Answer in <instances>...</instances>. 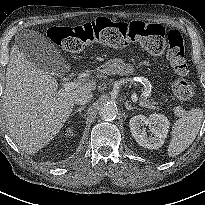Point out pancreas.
Here are the masks:
<instances>
[{
    "mask_svg": "<svg viewBox=\"0 0 205 205\" xmlns=\"http://www.w3.org/2000/svg\"><path fill=\"white\" fill-rule=\"evenodd\" d=\"M157 105H158V103L156 101H154L152 98H150V93L147 92V89L143 90L142 96L140 99V106L146 107L148 109L159 110L160 107Z\"/></svg>",
    "mask_w": 205,
    "mask_h": 205,
    "instance_id": "obj_1",
    "label": "pancreas"
}]
</instances>
